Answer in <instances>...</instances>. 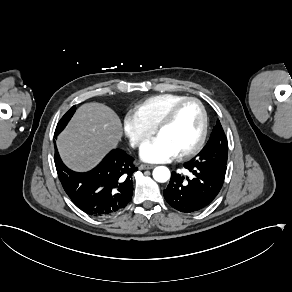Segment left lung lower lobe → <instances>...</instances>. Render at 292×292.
<instances>
[{
	"label": "left lung lower lobe",
	"mask_w": 292,
	"mask_h": 292,
	"mask_svg": "<svg viewBox=\"0 0 292 292\" xmlns=\"http://www.w3.org/2000/svg\"><path fill=\"white\" fill-rule=\"evenodd\" d=\"M184 167L193 176L184 177L172 172L170 182L164 189V198L171 207L180 212L200 211L207 207L220 192L226 167L205 166L196 159L185 163Z\"/></svg>",
	"instance_id": "0a47b994"
}]
</instances>
